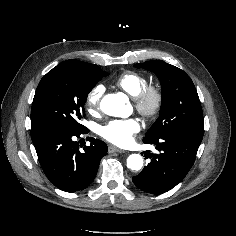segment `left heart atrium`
<instances>
[{
  "mask_svg": "<svg viewBox=\"0 0 236 236\" xmlns=\"http://www.w3.org/2000/svg\"><path fill=\"white\" fill-rule=\"evenodd\" d=\"M139 131V122L134 118H130L108 122L101 127L100 135L115 145L127 146L132 143L134 135Z\"/></svg>",
  "mask_w": 236,
  "mask_h": 236,
  "instance_id": "1",
  "label": "left heart atrium"
}]
</instances>
